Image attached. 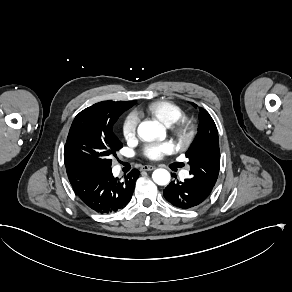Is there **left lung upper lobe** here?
Segmentation results:
<instances>
[{
  "mask_svg": "<svg viewBox=\"0 0 292 292\" xmlns=\"http://www.w3.org/2000/svg\"><path fill=\"white\" fill-rule=\"evenodd\" d=\"M199 121L197 136L186 152L190 179L214 187L220 168L218 132L212 117L203 108L200 109Z\"/></svg>",
  "mask_w": 292,
  "mask_h": 292,
  "instance_id": "5c2ea615",
  "label": "left lung upper lobe"
}]
</instances>
